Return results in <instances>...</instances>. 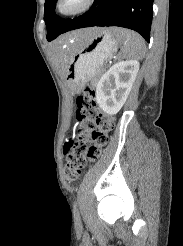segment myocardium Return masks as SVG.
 Masks as SVG:
<instances>
[{"label":"myocardium","instance_id":"1","mask_svg":"<svg viewBox=\"0 0 183 246\" xmlns=\"http://www.w3.org/2000/svg\"><path fill=\"white\" fill-rule=\"evenodd\" d=\"M95 0H57L56 13L61 17H72L87 11Z\"/></svg>","mask_w":183,"mask_h":246}]
</instances>
